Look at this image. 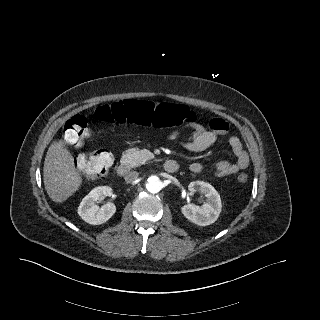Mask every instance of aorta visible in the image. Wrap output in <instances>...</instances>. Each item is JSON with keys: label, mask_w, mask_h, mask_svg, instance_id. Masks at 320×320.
Returning a JSON list of instances; mask_svg holds the SVG:
<instances>
[{"label": "aorta", "mask_w": 320, "mask_h": 320, "mask_svg": "<svg viewBox=\"0 0 320 320\" xmlns=\"http://www.w3.org/2000/svg\"><path fill=\"white\" fill-rule=\"evenodd\" d=\"M146 188L150 193H157L161 190V181L157 176H150L147 179Z\"/></svg>", "instance_id": "762f6f07"}]
</instances>
